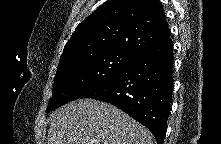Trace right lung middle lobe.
I'll return each mask as SVG.
<instances>
[{"mask_svg":"<svg viewBox=\"0 0 221 144\" xmlns=\"http://www.w3.org/2000/svg\"><path fill=\"white\" fill-rule=\"evenodd\" d=\"M136 55L110 50L59 66L46 112L57 109L117 75Z\"/></svg>","mask_w":221,"mask_h":144,"instance_id":"right-lung-middle-lobe-1","label":"right lung middle lobe"}]
</instances>
